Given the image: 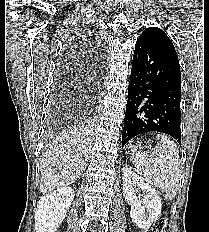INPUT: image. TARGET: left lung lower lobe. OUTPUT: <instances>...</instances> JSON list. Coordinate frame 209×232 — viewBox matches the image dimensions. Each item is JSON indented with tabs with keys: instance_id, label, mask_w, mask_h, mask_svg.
I'll return each mask as SVG.
<instances>
[{
	"instance_id": "0a47b994",
	"label": "left lung lower lobe",
	"mask_w": 209,
	"mask_h": 232,
	"mask_svg": "<svg viewBox=\"0 0 209 232\" xmlns=\"http://www.w3.org/2000/svg\"><path fill=\"white\" fill-rule=\"evenodd\" d=\"M180 97L178 58L155 44L137 40L122 147L133 137L147 132L168 134L181 145Z\"/></svg>"
}]
</instances>
